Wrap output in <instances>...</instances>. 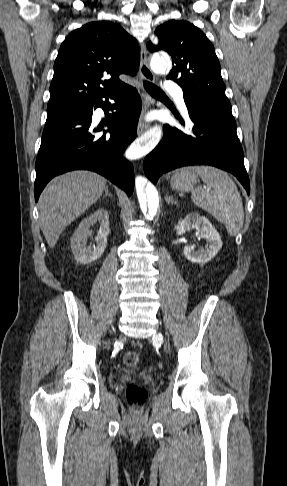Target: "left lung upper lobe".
<instances>
[{"label":"left lung upper lobe","instance_id":"obj_1","mask_svg":"<svg viewBox=\"0 0 287 486\" xmlns=\"http://www.w3.org/2000/svg\"><path fill=\"white\" fill-rule=\"evenodd\" d=\"M155 34L159 44L148 43V49L171 55L173 68L167 78L182 87L186 105L236 125L225 95L220 63L206 35L193 24L176 20L158 26Z\"/></svg>","mask_w":287,"mask_h":486}]
</instances>
